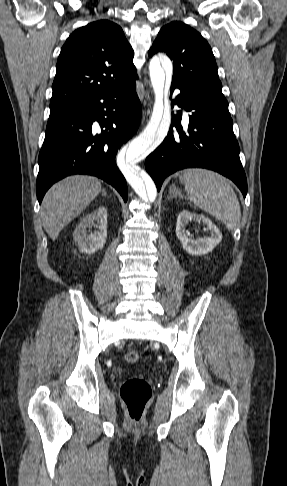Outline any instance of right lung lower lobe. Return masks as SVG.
<instances>
[{
	"label": "right lung lower lobe",
	"instance_id": "obj_1",
	"mask_svg": "<svg viewBox=\"0 0 287 486\" xmlns=\"http://www.w3.org/2000/svg\"><path fill=\"white\" fill-rule=\"evenodd\" d=\"M135 87L133 81L49 116L38 160L39 203L52 184L72 174L97 176L115 187L127 201L126 180L115 157L139 126L141 105Z\"/></svg>",
	"mask_w": 287,
	"mask_h": 486
}]
</instances>
